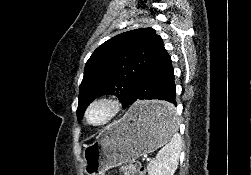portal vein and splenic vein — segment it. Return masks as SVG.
I'll use <instances>...</instances> for the list:
<instances>
[{
  "mask_svg": "<svg viewBox=\"0 0 251 175\" xmlns=\"http://www.w3.org/2000/svg\"><path fill=\"white\" fill-rule=\"evenodd\" d=\"M142 159H144L145 162H151L152 161L151 157L142 156Z\"/></svg>",
  "mask_w": 251,
  "mask_h": 175,
  "instance_id": "portal-vein-and-splenic-vein-1",
  "label": "portal vein and splenic vein"
}]
</instances>
